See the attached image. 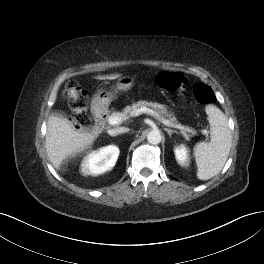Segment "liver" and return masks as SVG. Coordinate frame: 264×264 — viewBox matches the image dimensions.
Masks as SVG:
<instances>
[{"label": "liver", "instance_id": "6515ba94", "mask_svg": "<svg viewBox=\"0 0 264 264\" xmlns=\"http://www.w3.org/2000/svg\"><path fill=\"white\" fill-rule=\"evenodd\" d=\"M119 74L98 76L99 80H114ZM100 131L77 130L73 123L62 115L51 114L47 122L45 147L49 160L56 169L70 158L76 157L88 149L98 137Z\"/></svg>", "mask_w": 264, "mask_h": 264}]
</instances>
